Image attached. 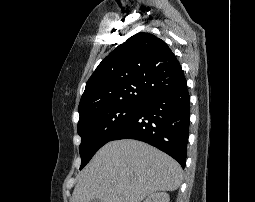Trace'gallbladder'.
<instances>
[{
	"label": "gallbladder",
	"instance_id": "gallbladder-1",
	"mask_svg": "<svg viewBox=\"0 0 255 202\" xmlns=\"http://www.w3.org/2000/svg\"><path fill=\"white\" fill-rule=\"evenodd\" d=\"M91 202H101L99 199H93Z\"/></svg>",
	"mask_w": 255,
	"mask_h": 202
}]
</instances>
